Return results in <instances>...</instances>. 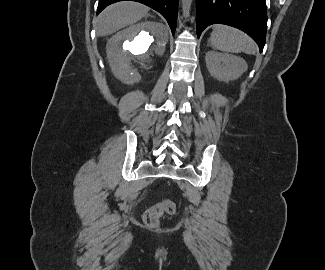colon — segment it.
<instances>
[{
  "instance_id": "5ec220e1",
  "label": "colon",
  "mask_w": 325,
  "mask_h": 270,
  "mask_svg": "<svg viewBox=\"0 0 325 270\" xmlns=\"http://www.w3.org/2000/svg\"><path fill=\"white\" fill-rule=\"evenodd\" d=\"M176 204L172 200L164 199L154 204L144 213V222L150 227H156L163 214H174Z\"/></svg>"
}]
</instances>
